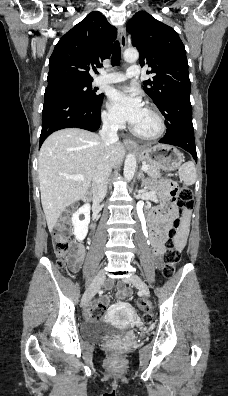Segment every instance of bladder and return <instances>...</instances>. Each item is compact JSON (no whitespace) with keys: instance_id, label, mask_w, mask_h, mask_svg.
<instances>
[{"instance_id":"1","label":"bladder","mask_w":228,"mask_h":396,"mask_svg":"<svg viewBox=\"0 0 228 396\" xmlns=\"http://www.w3.org/2000/svg\"><path fill=\"white\" fill-rule=\"evenodd\" d=\"M124 331L108 323L89 321L82 325L81 335L87 341H101L113 338Z\"/></svg>"}]
</instances>
